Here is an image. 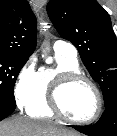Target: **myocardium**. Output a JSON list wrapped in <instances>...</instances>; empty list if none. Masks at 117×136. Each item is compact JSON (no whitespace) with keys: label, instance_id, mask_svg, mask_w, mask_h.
<instances>
[{"label":"myocardium","instance_id":"myocardium-1","mask_svg":"<svg viewBox=\"0 0 117 136\" xmlns=\"http://www.w3.org/2000/svg\"><path fill=\"white\" fill-rule=\"evenodd\" d=\"M87 83L94 91L97 100V108L95 114L88 119H77L70 116L63 104V95L65 91L76 83ZM48 102L51 111L63 118L64 120L75 124H91L95 122L102 114L103 111V97L99 87L96 83L85 74L79 71H66L59 73L53 80L49 95Z\"/></svg>","mask_w":117,"mask_h":136}]
</instances>
